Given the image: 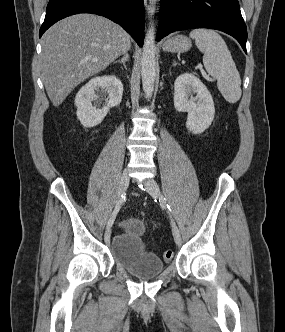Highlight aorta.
<instances>
[{"instance_id": "aorta-1", "label": "aorta", "mask_w": 285, "mask_h": 332, "mask_svg": "<svg viewBox=\"0 0 285 332\" xmlns=\"http://www.w3.org/2000/svg\"><path fill=\"white\" fill-rule=\"evenodd\" d=\"M141 76L143 91L147 98L152 96L156 78V60H155V28L151 24L143 44L141 57Z\"/></svg>"}]
</instances>
